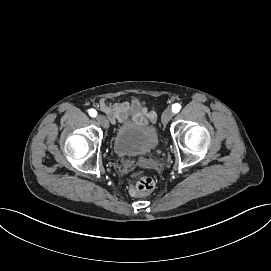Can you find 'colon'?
I'll use <instances>...</instances> for the list:
<instances>
[{
	"instance_id": "obj_1",
	"label": "colon",
	"mask_w": 271,
	"mask_h": 271,
	"mask_svg": "<svg viewBox=\"0 0 271 271\" xmlns=\"http://www.w3.org/2000/svg\"><path fill=\"white\" fill-rule=\"evenodd\" d=\"M155 188V182L148 176L136 174L135 181L130 185V193L135 196H143L151 193Z\"/></svg>"
}]
</instances>
